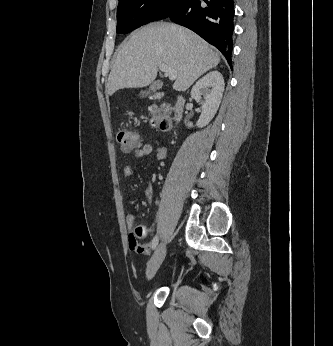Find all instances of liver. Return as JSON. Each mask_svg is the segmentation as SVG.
Returning a JSON list of instances; mask_svg holds the SVG:
<instances>
[{
  "mask_svg": "<svg viewBox=\"0 0 333 346\" xmlns=\"http://www.w3.org/2000/svg\"><path fill=\"white\" fill-rule=\"evenodd\" d=\"M219 62V54L189 29L170 23L149 24L132 33L118 48L107 94L151 84L160 64L176 71L173 89L185 91Z\"/></svg>",
  "mask_w": 333,
  "mask_h": 346,
  "instance_id": "liver-1",
  "label": "liver"
}]
</instances>
